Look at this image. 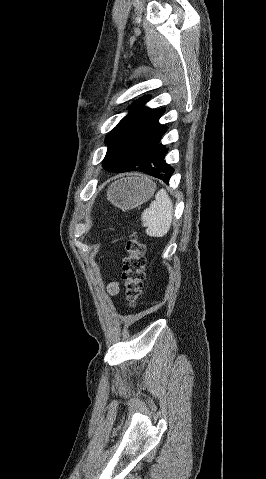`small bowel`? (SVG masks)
<instances>
[{
    "label": "small bowel",
    "instance_id": "small-bowel-1",
    "mask_svg": "<svg viewBox=\"0 0 266 479\" xmlns=\"http://www.w3.org/2000/svg\"><path fill=\"white\" fill-rule=\"evenodd\" d=\"M107 290L111 295H117L119 293V284L117 282H110L107 286Z\"/></svg>",
    "mask_w": 266,
    "mask_h": 479
}]
</instances>
